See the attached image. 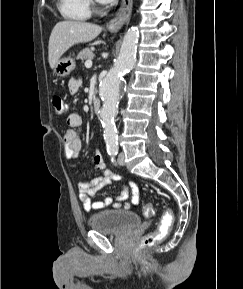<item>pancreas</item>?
I'll return each mask as SVG.
<instances>
[{
	"mask_svg": "<svg viewBox=\"0 0 243 289\" xmlns=\"http://www.w3.org/2000/svg\"><path fill=\"white\" fill-rule=\"evenodd\" d=\"M92 58H93V52L88 47L80 51L76 57V59H80L82 61L91 60Z\"/></svg>",
	"mask_w": 243,
	"mask_h": 289,
	"instance_id": "cf45deb5",
	"label": "pancreas"
}]
</instances>
